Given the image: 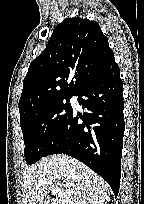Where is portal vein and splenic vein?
<instances>
[{"mask_svg":"<svg viewBox=\"0 0 144 204\" xmlns=\"http://www.w3.org/2000/svg\"><path fill=\"white\" fill-rule=\"evenodd\" d=\"M51 192H52L53 195H59V196L62 195V193H61L60 190H58V189H52Z\"/></svg>","mask_w":144,"mask_h":204,"instance_id":"obj_1","label":"portal vein and splenic vein"}]
</instances>
